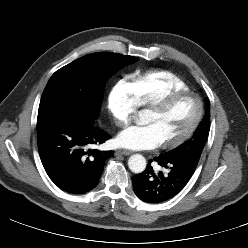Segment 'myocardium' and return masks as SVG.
Returning <instances> with one entry per match:
<instances>
[{
    "mask_svg": "<svg viewBox=\"0 0 248 248\" xmlns=\"http://www.w3.org/2000/svg\"><path fill=\"white\" fill-rule=\"evenodd\" d=\"M184 97H192L196 103H197V112L196 115L191 123V125L188 127V129L182 133L179 137L175 139H171L168 141L161 142L160 146L162 148H173L181 145L185 141H187L196 131L198 128L201 119L203 117L204 113V103L201 97L191 91H174L165 94L158 100L151 103L149 106H147V110L151 111H164L167 109L172 103H174L176 100L184 98Z\"/></svg>",
    "mask_w": 248,
    "mask_h": 248,
    "instance_id": "obj_1",
    "label": "myocardium"
}]
</instances>
